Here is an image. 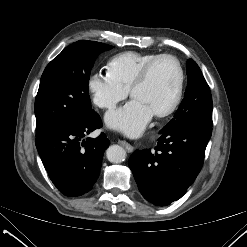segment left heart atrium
I'll list each match as a JSON object with an SVG mask.
<instances>
[{
    "label": "left heart atrium",
    "mask_w": 247,
    "mask_h": 247,
    "mask_svg": "<svg viewBox=\"0 0 247 247\" xmlns=\"http://www.w3.org/2000/svg\"><path fill=\"white\" fill-rule=\"evenodd\" d=\"M153 111L139 100L132 98L126 105L116 111L109 112L106 117L107 125L127 134H138L152 118Z\"/></svg>",
    "instance_id": "obj_1"
}]
</instances>
